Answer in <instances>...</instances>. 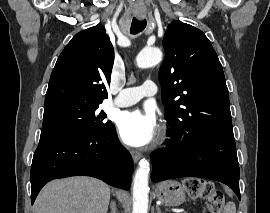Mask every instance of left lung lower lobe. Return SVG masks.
<instances>
[{"label":"left lung lower lobe","mask_w":270,"mask_h":213,"mask_svg":"<svg viewBox=\"0 0 270 213\" xmlns=\"http://www.w3.org/2000/svg\"><path fill=\"white\" fill-rule=\"evenodd\" d=\"M168 148L151 155L153 182L203 177L228 185L240 199L239 164L234 135L194 131L185 137L169 133Z\"/></svg>","instance_id":"obj_1"}]
</instances>
